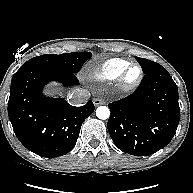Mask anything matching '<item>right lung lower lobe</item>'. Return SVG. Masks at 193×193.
I'll use <instances>...</instances> for the list:
<instances>
[{
    "label": "right lung lower lobe",
    "instance_id": "obj_1",
    "mask_svg": "<svg viewBox=\"0 0 193 193\" xmlns=\"http://www.w3.org/2000/svg\"><path fill=\"white\" fill-rule=\"evenodd\" d=\"M79 84L74 73L41 68L18 70L11 81L8 115L20 142L43 157L62 156L75 146L84 120L95 107L92 101L81 107L62 98H48L42 89L50 81Z\"/></svg>",
    "mask_w": 193,
    "mask_h": 193
}]
</instances>
